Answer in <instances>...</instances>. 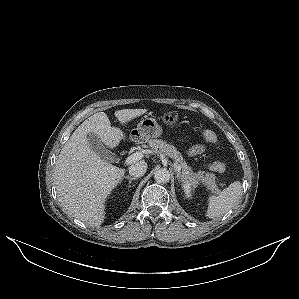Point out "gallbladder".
<instances>
[{"instance_id": "obj_1", "label": "gallbladder", "mask_w": 299, "mask_h": 299, "mask_svg": "<svg viewBox=\"0 0 299 299\" xmlns=\"http://www.w3.org/2000/svg\"><path fill=\"white\" fill-rule=\"evenodd\" d=\"M87 139L89 142L90 148L98 154L102 159L106 161H113L114 160V155L111 153L109 150H107L99 137L94 134V133H88Z\"/></svg>"}]
</instances>
